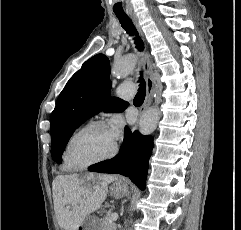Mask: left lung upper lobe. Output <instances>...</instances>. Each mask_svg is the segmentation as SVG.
I'll list each match as a JSON object with an SVG mask.
<instances>
[{"label":"left lung upper lobe","mask_w":241,"mask_h":230,"mask_svg":"<svg viewBox=\"0 0 241 230\" xmlns=\"http://www.w3.org/2000/svg\"><path fill=\"white\" fill-rule=\"evenodd\" d=\"M110 61L97 54L87 60L66 84L51 114V155L62 163L61 155L71 135L83 122L97 113L122 112L126 103L109 97Z\"/></svg>","instance_id":"5c2ea615"}]
</instances>
